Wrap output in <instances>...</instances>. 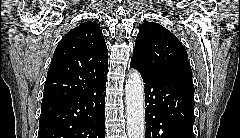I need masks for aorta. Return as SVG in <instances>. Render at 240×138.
Listing matches in <instances>:
<instances>
[{
	"label": "aorta",
	"mask_w": 240,
	"mask_h": 138,
	"mask_svg": "<svg viewBox=\"0 0 240 138\" xmlns=\"http://www.w3.org/2000/svg\"><path fill=\"white\" fill-rule=\"evenodd\" d=\"M125 100L127 113L128 138H144L145 136V107L144 87L142 78L133 70L126 80Z\"/></svg>",
	"instance_id": "obj_1"
}]
</instances>
